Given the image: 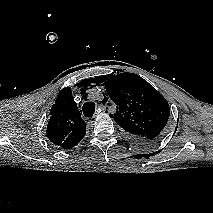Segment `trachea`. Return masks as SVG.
<instances>
[{
	"label": "trachea",
	"instance_id": "obj_1",
	"mask_svg": "<svg viewBox=\"0 0 213 213\" xmlns=\"http://www.w3.org/2000/svg\"><path fill=\"white\" fill-rule=\"evenodd\" d=\"M95 104L93 102H87L83 105V114L86 117H92L95 112Z\"/></svg>",
	"mask_w": 213,
	"mask_h": 213
}]
</instances>
